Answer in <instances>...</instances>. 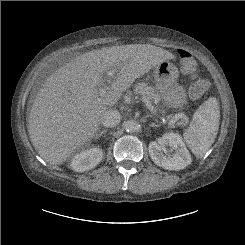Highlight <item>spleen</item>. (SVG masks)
I'll use <instances>...</instances> for the list:
<instances>
[{
    "label": "spleen",
    "instance_id": "spleen-1",
    "mask_svg": "<svg viewBox=\"0 0 245 245\" xmlns=\"http://www.w3.org/2000/svg\"><path fill=\"white\" fill-rule=\"evenodd\" d=\"M220 106L215 97L202 103L183 134L184 141L197 157H203L214 143L219 129Z\"/></svg>",
    "mask_w": 245,
    "mask_h": 245
}]
</instances>
